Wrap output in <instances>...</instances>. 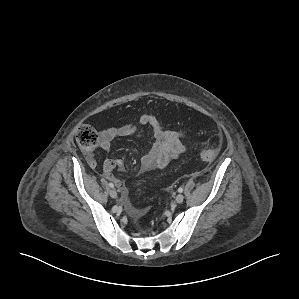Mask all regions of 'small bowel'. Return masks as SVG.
Returning <instances> with one entry per match:
<instances>
[{
	"label": "small bowel",
	"mask_w": 299,
	"mask_h": 299,
	"mask_svg": "<svg viewBox=\"0 0 299 299\" xmlns=\"http://www.w3.org/2000/svg\"><path fill=\"white\" fill-rule=\"evenodd\" d=\"M150 126L152 128V142L146 154L141 158L142 171H152L166 167L172 160L177 159L186 149L182 142L181 134L176 131L166 130L152 115L141 117L139 125L127 122L119 127H108L100 131V147L109 150L116 137H125L135 134L140 127ZM91 166L95 165L90 160ZM122 162L117 159H107L103 165V172L107 179L113 181L123 191L125 190L121 180L116 178L112 171L121 168ZM143 210H133L134 215H140Z\"/></svg>",
	"instance_id": "small-bowel-1"
}]
</instances>
